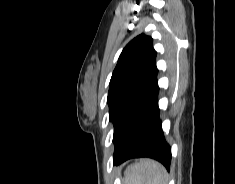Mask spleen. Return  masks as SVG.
<instances>
[{
	"mask_svg": "<svg viewBox=\"0 0 235 184\" xmlns=\"http://www.w3.org/2000/svg\"><path fill=\"white\" fill-rule=\"evenodd\" d=\"M123 184H169L166 168L155 160H141L126 168Z\"/></svg>",
	"mask_w": 235,
	"mask_h": 184,
	"instance_id": "1",
	"label": "spleen"
}]
</instances>
